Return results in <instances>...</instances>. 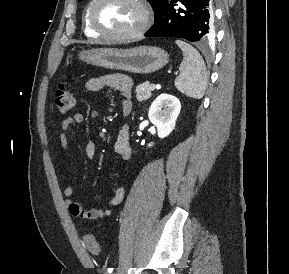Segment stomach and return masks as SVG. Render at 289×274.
I'll return each mask as SVG.
<instances>
[{
	"mask_svg": "<svg viewBox=\"0 0 289 274\" xmlns=\"http://www.w3.org/2000/svg\"><path fill=\"white\" fill-rule=\"evenodd\" d=\"M79 59L88 64L108 69L149 74L163 68L169 61V55L158 47L139 46L130 49L86 50L79 53Z\"/></svg>",
	"mask_w": 289,
	"mask_h": 274,
	"instance_id": "1",
	"label": "stomach"
}]
</instances>
